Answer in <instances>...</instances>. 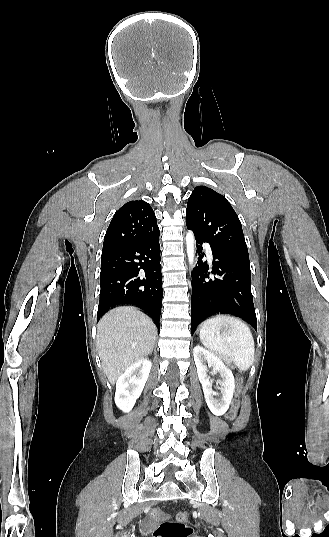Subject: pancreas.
<instances>
[{
    "label": "pancreas",
    "mask_w": 329,
    "mask_h": 537,
    "mask_svg": "<svg viewBox=\"0 0 329 537\" xmlns=\"http://www.w3.org/2000/svg\"><path fill=\"white\" fill-rule=\"evenodd\" d=\"M221 358H222L227 364H230V361H229V360H227V359L224 358V357H221Z\"/></svg>",
    "instance_id": "1"
}]
</instances>
